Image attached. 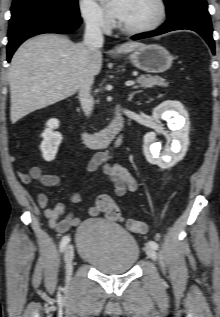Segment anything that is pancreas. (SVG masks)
Returning <instances> with one entry per match:
<instances>
[{
  "label": "pancreas",
  "mask_w": 220,
  "mask_h": 317,
  "mask_svg": "<svg viewBox=\"0 0 220 317\" xmlns=\"http://www.w3.org/2000/svg\"><path fill=\"white\" fill-rule=\"evenodd\" d=\"M137 83L139 87L143 88H152L154 86H165L168 83L165 82V79L159 76H149V75H140L137 78ZM138 87V86H135Z\"/></svg>",
  "instance_id": "1"
}]
</instances>
